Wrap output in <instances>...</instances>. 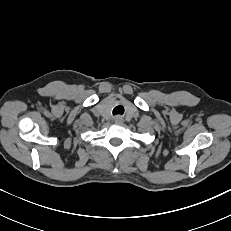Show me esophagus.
<instances>
[{"mask_svg": "<svg viewBox=\"0 0 231 231\" xmlns=\"http://www.w3.org/2000/svg\"><path fill=\"white\" fill-rule=\"evenodd\" d=\"M114 121L116 124H122L123 123V118L121 116H116L114 118Z\"/></svg>", "mask_w": 231, "mask_h": 231, "instance_id": "1", "label": "esophagus"}]
</instances>
